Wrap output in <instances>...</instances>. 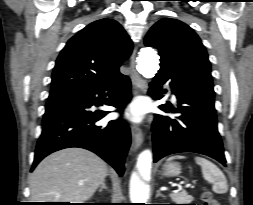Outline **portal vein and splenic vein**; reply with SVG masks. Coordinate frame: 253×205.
I'll list each match as a JSON object with an SVG mask.
<instances>
[{
    "instance_id": "portal-vein-and-splenic-vein-1",
    "label": "portal vein and splenic vein",
    "mask_w": 253,
    "mask_h": 205,
    "mask_svg": "<svg viewBox=\"0 0 253 205\" xmlns=\"http://www.w3.org/2000/svg\"><path fill=\"white\" fill-rule=\"evenodd\" d=\"M185 187H186V188H187V187H193V185L190 184V183H188V184H185Z\"/></svg>"
}]
</instances>
